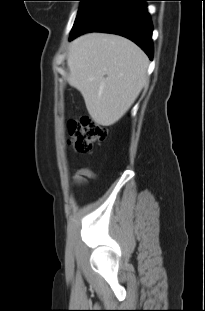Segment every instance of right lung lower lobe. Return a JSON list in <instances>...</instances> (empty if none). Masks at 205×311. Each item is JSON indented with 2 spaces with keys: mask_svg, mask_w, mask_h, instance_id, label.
<instances>
[{
  "mask_svg": "<svg viewBox=\"0 0 205 311\" xmlns=\"http://www.w3.org/2000/svg\"><path fill=\"white\" fill-rule=\"evenodd\" d=\"M145 1L148 0H90L69 40L91 31L114 33L135 42L152 59L153 26Z\"/></svg>",
  "mask_w": 205,
  "mask_h": 311,
  "instance_id": "98d812e1",
  "label": "right lung lower lobe"
}]
</instances>
